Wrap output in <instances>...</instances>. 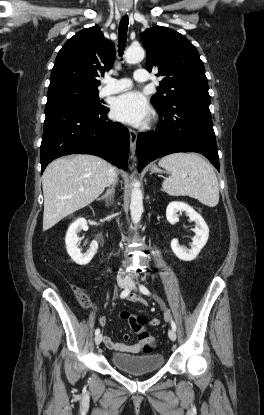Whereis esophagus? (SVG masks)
Masks as SVG:
<instances>
[{
  "label": "esophagus",
  "instance_id": "34e87169",
  "mask_svg": "<svg viewBox=\"0 0 264 415\" xmlns=\"http://www.w3.org/2000/svg\"><path fill=\"white\" fill-rule=\"evenodd\" d=\"M129 137H130V151H131V158L133 161H136V142H137V133L136 131L129 129Z\"/></svg>",
  "mask_w": 264,
  "mask_h": 415
}]
</instances>
